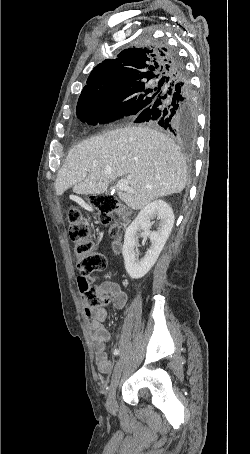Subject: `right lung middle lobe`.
Listing matches in <instances>:
<instances>
[{
	"instance_id": "dd1d6c3e",
	"label": "right lung middle lobe",
	"mask_w": 250,
	"mask_h": 454,
	"mask_svg": "<svg viewBox=\"0 0 250 454\" xmlns=\"http://www.w3.org/2000/svg\"><path fill=\"white\" fill-rule=\"evenodd\" d=\"M160 86L154 89H145V84L137 86L127 92L101 102H87L77 104V117L82 122L96 125L98 122L107 123L121 117L114 112L127 115H136L146 105L150 104L158 94Z\"/></svg>"
}]
</instances>
